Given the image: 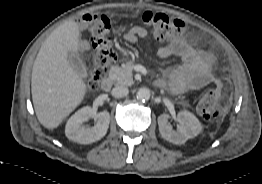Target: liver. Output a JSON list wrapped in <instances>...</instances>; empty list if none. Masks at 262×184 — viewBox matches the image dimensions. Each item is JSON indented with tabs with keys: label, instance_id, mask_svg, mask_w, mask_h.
Instances as JSON below:
<instances>
[{
	"label": "liver",
	"instance_id": "liver-1",
	"mask_svg": "<svg viewBox=\"0 0 262 184\" xmlns=\"http://www.w3.org/2000/svg\"><path fill=\"white\" fill-rule=\"evenodd\" d=\"M79 44L78 24L66 21L47 37L35 59L32 100L39 122L47 129L57 128L86 95L84 81L68 60L70 53L79 51Z\"/></svg>",
	"mask_w": 262,
	"mask_h": 184
}]
</instances>
